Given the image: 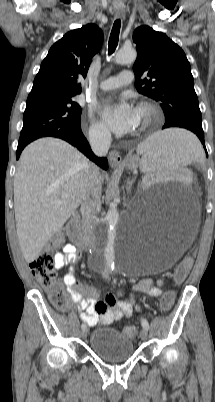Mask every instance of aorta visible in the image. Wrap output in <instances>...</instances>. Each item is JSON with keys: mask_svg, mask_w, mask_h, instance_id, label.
Here are the masks:
<instances>
[{"mask_svg": "<svg viewBox=\"0 0 215 402\" xmlns=\"http://www.w3.org/2000/svg\"><path fill=\"white\" fill-rule=\"evenodd\" d=\"M137 53L133 48H122L115 55V63L117 64H130L136 60ZM119 218V213L116 205H111L107 215L106 228L100 231V239L96 248L95 255L99 257V259L105 262L108 271L114 269L115 264L118 261L119 253L117 247L115 245V236H116V223Z\"/></svg>", "mask_w": 215, "mask_h": 402, "instance_id": "obj_1", "label": "aorta"}]
</instances>
